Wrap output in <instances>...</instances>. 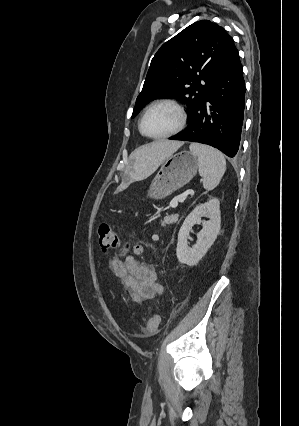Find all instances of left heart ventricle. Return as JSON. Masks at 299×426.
<instances>
[{
	"label": "left heart ventricle",
	"mask_w": 299,
	"mask_h": 426,
	"mask_svg": "<svg viewBox=\"0 0 299 426\" xmlns=\"http://www.w3.org/2000/svg\"><path fill=\"white\" fill-rule=\"evenodd\" d=\"M178 111L170 105H159L150 110L144 120V130L152 136L166 134L177 127Z\"/></svg>",
	"instance_id": "1"
}]
</instances>
